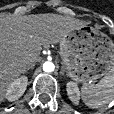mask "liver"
Returning a JSON list of instances; mask_svg holds the SVG:
<instances>
[{
	"instance_id": "liver-1",
	"label": "liver",
	"mask_w": 114,
	"mask_h": 114,
	"mask_svg": "<svg viewBox=\"0 0 114 114\" xmlns=\"http://www.w3.org/2000/svg\"><path fill=\"white\" fill-rule=\"evenodd\" d=\"M86 25L57 14L0 18V103L8 86L39 59L42 46L60 43L67 33Z\"/></svg>"
}]
</instances>
